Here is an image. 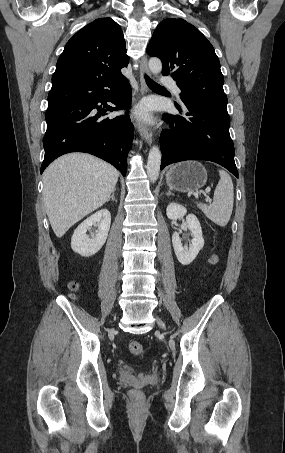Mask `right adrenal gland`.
Returning <instances> with one entry per match:
<instances>
[{"mask_svg":"<svg viewBox=\"0 0 285 453\" xmlns=\"http://www.w3.org/2000/svg\"><path fill=\"white\" fill-rule=\"evenodd\" d=\"M115 191H116V189H114V190L112 191V194H111V196L107 199V202H109L110 199H112L113 201H115V196H114Z\"/></svg>","mask_w":285,"mask_h":453,"instance_id":"right-adrenal-gland-1","label":"right adrenal gland"}]
</instances>
